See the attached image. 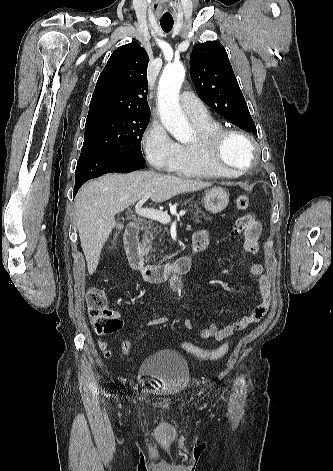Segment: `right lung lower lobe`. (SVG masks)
Instances as JSON below:
<instances>
[{
	"label": "right lung lower lobe",
	"instance_id": "1",
	"mask_svg": "<svg viewBox=\"0 0 333 471\" xmlns=\"http://www.w3.org/2000/svg\"><path fill=\"white\" fill-rule=\"evenodd\" d=\"M144 163L112 154H87L80 156L75 171L74 197L89 179L105 173H129L143 169Z\"/></svg>",
	"mask_w": 333,
	"mask_h": 471
}]
</instances>
